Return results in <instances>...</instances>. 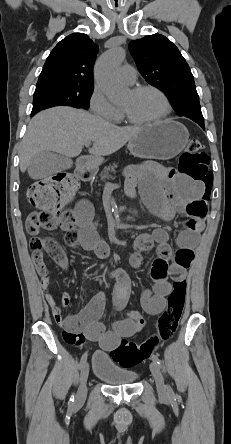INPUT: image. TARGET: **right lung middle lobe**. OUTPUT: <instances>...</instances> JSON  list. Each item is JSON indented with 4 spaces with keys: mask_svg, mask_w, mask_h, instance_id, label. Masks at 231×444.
I'll use <instances>...</instances> for the list:
<instances>
[{
    "mask_svg": "<svg viewBox=\"0 0 231 444\" xmlns=\"http://www.w3.org/2000/svg\"><path fill=\"white\" fill-rule=\"evenodd\" d=\"M93 89V86L62 84L36 87L31 115L40 110L60 105L88 109V100Z\"/></svg>",
    "mask_w": 231,
    "mask_h": 444,
    "instance_id": "dd1d6c3e",
    "label": "right lung middle lobe"
}]
</instances>
